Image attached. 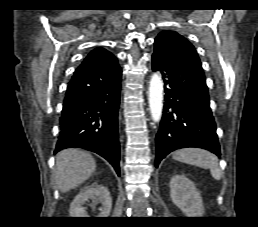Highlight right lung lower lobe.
Instances as JSON below:
<instances>
[{
  "label": "right lung lower lobe",
  "instance_id": "98d812e1",
  "mask_svg": "<svg viewBox=\"0 0 258 227\" xmlns=\"http://www.w3.org/2000/svg\"><path fill=\"white\" fill-rule=\"evenodd\" d=\"M121 68L112 54L78 67L68 84L56 151L79 147L108 160L120 175L118 110Z\"/></svg>",
  "mask_w": 258,
  "mask_h": 227
}]
</instances>
